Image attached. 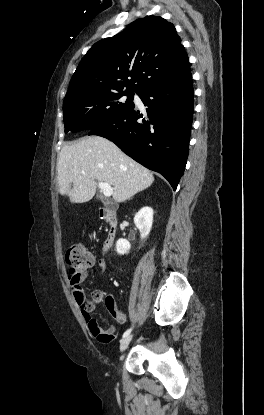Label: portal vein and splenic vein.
<instances>
[{"label":"portal vein and splenic vein","instance_id":"18ae733b","mask_svg":"<svg viewBox=\"0 0 264 415\" xmlns=\"http://www.w3.org/2000/svg\"><path fill=\"white\" fill-rule=\"evenodd\" d=\"M98 187L105 197H110L113 193V188L106 182H99Z\"/></svg>","mask_w":264,"mask_h":415}]
</instances>
